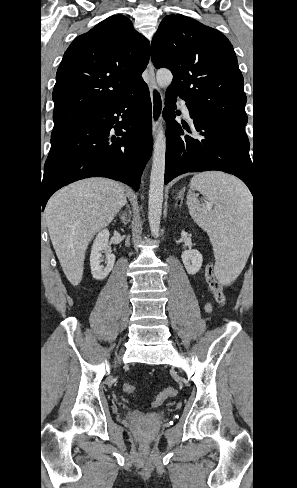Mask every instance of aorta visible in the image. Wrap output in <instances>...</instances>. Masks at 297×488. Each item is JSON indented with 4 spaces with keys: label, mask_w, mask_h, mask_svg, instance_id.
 I'll use <instances>...</instances> for the list:
<instances>
[{
    "label": "aorta",
    "mask_w": 297,
    "mask_h": 488,
    "mask_svg": "<svg viewBox=\"0 0 297 488\" xmlns=\"http://www.w3.org/2000/svg\"><path fill=\"white\" fill-rule=\"evenodd\" d=\"M173 79L168 69H160L156 73V81L160 88H167ZM166 137L160 126L154 142L152 169L150 176L148 221L153 236L160 235V220L162 214L164 173H165Z\"/></svg>",
    "instance_id": "aorta-1"
}]
</instances>
